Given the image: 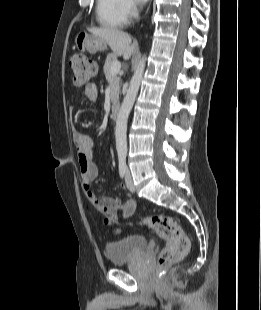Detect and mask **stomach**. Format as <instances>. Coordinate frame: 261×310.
I'll use <instances>...</instances> for the list:
<instances>
[{"instance_id": "obj_1", "label": "stomach", "mask_w": 261, "mask_h": 310, "mask_svg": "<svg viewBox=\"0 0 261 310\" xmlns=\"http://www.w3.org/2000/svg\"><path fill=\"white\" fill-rule=\"evenodd\" d=\"M76 45L92 54L107 49V43L104 40L87 33H80L77 36Z\"/></svg>"}]
</instances>
